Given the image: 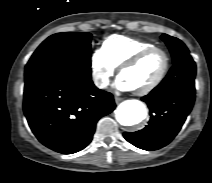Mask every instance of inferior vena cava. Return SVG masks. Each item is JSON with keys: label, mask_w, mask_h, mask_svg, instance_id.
<instances>
[{"label": "inferior vena cava", "mask_w": 212, "mask_h": 183, "mask_svg": "<svg viewBox=\"0 0 212 183\" xmlns=\"http://www.w3.org/2000/svg\"><path fill=\"white\" fill-rule=\"evenodd\" d=\"M94 83H95V85H96L97 87H99V88H104V82H103L102 79L96 77V78L94 79Z\"/></svg>", "instance_id": "602c4592"}]
</instances>
